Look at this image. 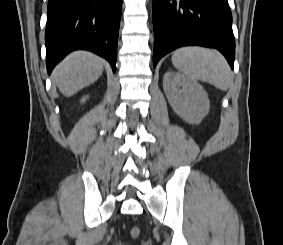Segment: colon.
Masks as SVG:
<instances>
[{
    "instance_id": "1",
    "label": "colon",
    "mask_w": 283,
    "mask_h": 245,
    "mask_svg": "<svg viewBox=\"0 0 283 245\" xmlns=\"http://www.w3.org/2000/svg\"><path fill=\"white\" fill-rule=\"evenodd\" d=\"M140 228L135 226L130 230V235L132 238H138L140 235Z\"/></svg>"
}]
</instances>
